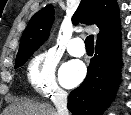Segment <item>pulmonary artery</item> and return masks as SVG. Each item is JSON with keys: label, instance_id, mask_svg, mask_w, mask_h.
<instances>
[{"label": "pulmonary artery", "instance_id": "e3ab8cb5", "mask_svg": "<svg viewBox=\"0 0 131 115\" xmlns=\"http://www.w3.org/2000/svg\"><path fill=\"white\" fill-rule=\"evenodd\" d=\"M67 50L70 55L74 57H81L85 53V48L83 45V41L79 37H75L70 40Z\"/></svg>", "mask_w": 131, "mask_h": 115}]
</instances>
